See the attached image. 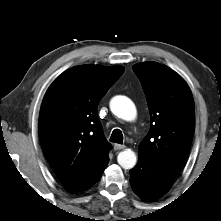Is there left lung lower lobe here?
Here are the masks:
<instances>
[{
  "label": "left lung lower lobe",
  "mask_w": 221,
  "mask_h": 221,
  "mask_svg": "<svg viewBox=\"0 0 221 221\" xmlns=\"http://www.w3.org/2000/svg\"><path fill=\"white\" fill-rule=\"evenodd\" d=\"M130 184L142 199L152 201L163 196L171 188L176 173H173L139 156L137 165L130 170Z\"/></svg>",
  "instance_id": "0a47b994"
}]
</instances>
